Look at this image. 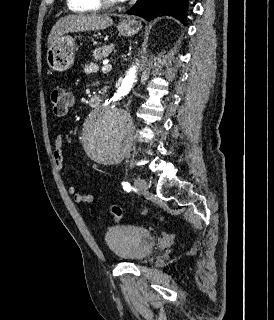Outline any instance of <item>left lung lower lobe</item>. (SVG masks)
Listing matches in <instances>:
<instances>
[{"label": "left lung lower lobe", "mask_w": 274, "mask_h": 320, "mask_svg": "<svg viewBox=\"0 0 274 320\" xmlns=\"http://www.w3.org/2000/svg\"><path fill=\"white\" fill-rule=\"evenodd\" d=\"M188 3L189 0H137L126 13L143 17L148 21L162 13L186 24Z\"/></svg>", "instance_id": "left-lung-lower-lobe-1"}]
</instances>
